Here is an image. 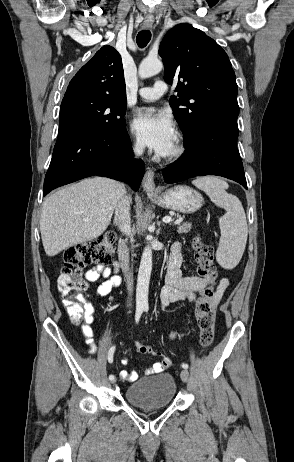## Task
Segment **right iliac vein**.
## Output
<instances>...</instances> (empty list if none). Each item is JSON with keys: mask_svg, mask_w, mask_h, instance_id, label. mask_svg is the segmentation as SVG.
<instances>
[{"mask_svg": "<svg viewBox=\"0 0 294 462\" xmlns=\"http://www.w3.org/2000/svg\"><path fill=\"white\" fill-rule=\"evenodd\" d=\"M116 382V379L114 378L113 380H111V383H115Z\"/></svg>", "mask_w": 294, "mask_h": 462, "instance_id": "obj_1", "label": "right iliac vein"}]
</instances>
